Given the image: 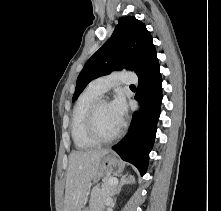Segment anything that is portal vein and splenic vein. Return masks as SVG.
<instances>
[{"mask_svg": "<svg viewBox=\"0 0 221 211\" xmlns=\"http://www.w3.org/2000/svg\"><path fill=\"white\" fill-rule=\"evenodd\" d=\"M118 184V179L117 178H110L108 181V185H117Z\"/></svg>", "mask_w": 221, "mask_h": 211, "instance_id": "portal-vein-and-splenic-vein-1", "label": "portal vein and splenic vein"}]
</instances>
